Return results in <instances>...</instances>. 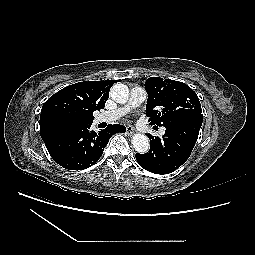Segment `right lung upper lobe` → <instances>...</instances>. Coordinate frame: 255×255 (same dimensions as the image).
I'll return each instance as SVG.
<instances>
[{
  "mask_svg": "<svg viewBox=\"0 0 255 255\" xmlns=\"http://www.w3.org/2000/svg\"><path fill=\"white\" fill-rule=\"evenodd\" d=\"M115 81H84L67 86L43 105L40 115L42 139L55 129L92 124L93 112L104 108Z\"/></svg>",
  "mask_w": 255,
  "mask_h": 255,
  "instance_id": "obj_1",
  "label": "right lung upper lobe"
}]
</instances>
